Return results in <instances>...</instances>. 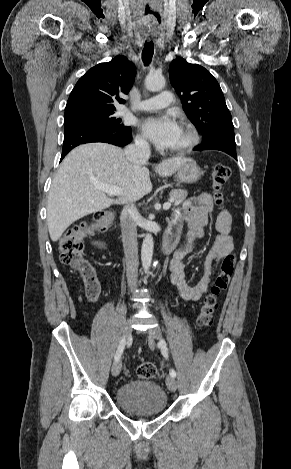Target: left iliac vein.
<instances>
[{
  "instance_id": "obj_1",
  "label": "left iliac vein",
  "mask_w": 291,
  "mask_h": 469,
  "mask_svg": "<svg viewBox=\"0 0 291 469\" xmlns=\"http://www.w3.org/2000/svg\"><path fill=\"white\" fill-rule=\"evenodd\" d=\"M148 337L150 339H156L160 340L161 339V331L159 328H152L148 331ZM166 385L168 389L172 392H174L177 388V383L174 377L172 376H167L166 377Z\"/></svg>"
}]
</instances>
